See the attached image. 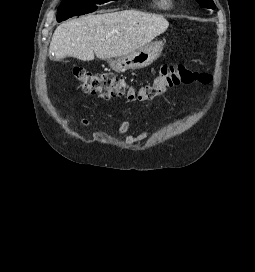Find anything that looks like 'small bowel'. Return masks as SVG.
<instances>
[{
	"mask_svg": "<svg viewBox=\"0 0 255 272\" xmlns=\"http://www.w3.org/2000/svg\"><path fill=\"white\" fill-rule=\"evenodd\" d=\"M82 124L87 125L88 124L87 119H82ZM129 128H130V122L127 120H123L119 126L118 134L121 137H123L129 130ZM150 135H151L150 132L132 134V135L126 136L124 140L126 144L132 145V144H135L136 142L147 140L150 137Z\"/></svg>",
	"mask_w": 255,
	"mask_h": 272,
	"instance_id": "small-bowel-1",
	"label": "small bowel"
}]
</instances>
